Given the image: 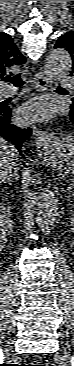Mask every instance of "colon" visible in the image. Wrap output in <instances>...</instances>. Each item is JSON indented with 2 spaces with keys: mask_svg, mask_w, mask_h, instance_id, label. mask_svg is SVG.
I'll use <instances>...</instances> for the list:
<instances>
[{
  "mask_svg": "<svg viewBox=\"0 0 74 366\" xmlns=\"http://www.w3.org/2000/svg\"><path fill=\"white\" fill-rule=\"evenodd\" d=\"M29 366H47L46 364L44 363H36L34 365H29Z\"/></svg>",
  "mask_w": 74,
  "mask_h": 366,
  "instance_id": "colon-1",
  "label": "colon"
}]
</instances>
